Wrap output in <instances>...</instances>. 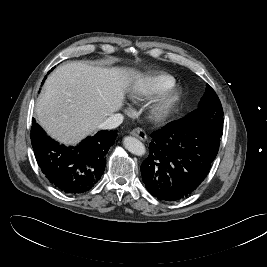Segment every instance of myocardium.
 <instances>
[{
	"label": "myocardium",
	"instance_id": "f54148a6",
	"mask_svg": "<svg viewBox=\"0 0 267 267\" xmlns=\"http://www.w3.org/2000/svg\"><path fill=\"white\" fill-rule=\"evenodd\" d=\"M182 99V92L177 87H171L161 94L149 107V115L153 119H164L171 115Z\"/></svg>",
	"mask_w": 267,
	"mask_h": 267
}]
</instances>
